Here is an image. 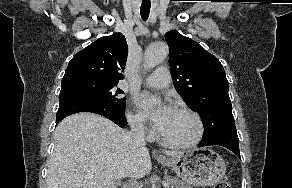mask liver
I'll return each instance as SVG.
<instances>
[{"instance_id": "liver-1", "label": "liver", "mask_w": 292, "mask_h": 188, "mask_svg": "<svg viewBox=\"0 0 292 188\" xmlns=\"http://www.w3.org/2000/svg\"><path fill=\"white\" fill-rule=\"evenodd\" d=\"M54 140L47 188H112L113 179H139L151 172L148 149L131 145L126 131L100 115L82 112L65 118Z\"/></svg>"}]
</instances>
